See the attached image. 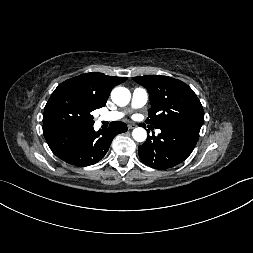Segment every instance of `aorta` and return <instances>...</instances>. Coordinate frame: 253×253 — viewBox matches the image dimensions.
Masks as SVG:
<instances>
[{
  "instance_id": "obj_1",
  "label": "aorta",
  "mask_w": 253,
  "mask_h": 253,
  "mask_svg": "<svg viewBox=\"0 0 253 253\" xmlns=\"http://www.w3.org/2000/svg\"><path fill=\"white\" fill-rule=\"evenodd\" d=\"M130 91L125 87H116L111 92L112 101L118 106H126L130 102ZM135 141L143 142L147 138V132L144 128H135L132 132Z\"/></svg>"
}]
</instances>
